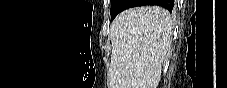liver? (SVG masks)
<instances>
[{"mask_svg":"<svg viewBox=\"0 0 227 88\" xmlns=\"http://www.w3.org/2000/svg\"><path fill=\"white\" fill-rule=\"evenodd\" d=\"M173 21L160 6L122 11L111 23L109 88H157L171 52Z\"/></svg>","mask_w":227,"mask_h":88,"instance_id":"6515ba94","label":"liver"}]
</instances>
